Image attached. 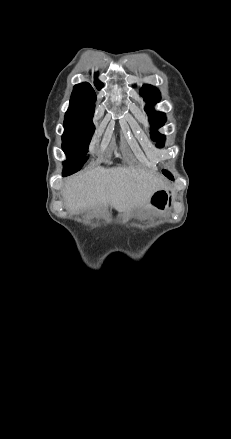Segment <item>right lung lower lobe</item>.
<instances>
[{
    "label": "right lung lower lobe",
    "instance_id": "98d812e1",
    "mask_svg": "<svg viewBox=\"0 0 231 439\" xmlns=\"http://www.w3.org/2000/svg\"><path fill=\"white\" fill-rule=\"evenodd\" d=\"M73 173V171H63V176H67V175H70V174H72Z\"/></svg>",
    "mask_w": 231,
    "mask_h": 439
}]
</instances>
